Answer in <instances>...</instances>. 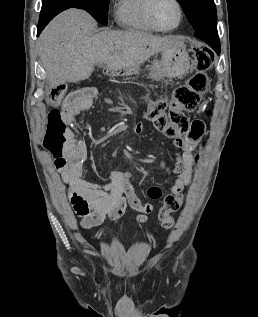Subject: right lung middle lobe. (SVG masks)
<instances>
[{
    "label": "right lung middle lobe",
    "instance_id": "obj_1",
    "mask_svg": "<svg viewBox=\"0 0 258 317\" xmlns=\"http://www.w3.org/2000/svg\"><path fill=\"white\" fill-rule=\"evenodd\" d=\"M89 6L93 9V17L100 23L107 25V12L109 0H88Z\"/></svg>",
    "mask_w": 258,
    "mask_h": 317
}]
</instances>
